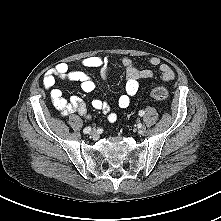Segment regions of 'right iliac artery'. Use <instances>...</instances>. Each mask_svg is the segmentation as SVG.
<instances>
[{"label":"right iliac artery","instance_id":"right-iliac-artery-1","mask_svg":"<svg viewBox=\"0 0 221 221\" xmlns=\"http://www.w3.org/2000/svg\"><path fill=\"white\" fill-rule=\"evenodd\" d=\"M90 130H91V128H90V127H86V128H84L83 132L86 134V133H89V132H90Z\"/></svg>","mask_w":221,"mask_h":221}]
</instances>
